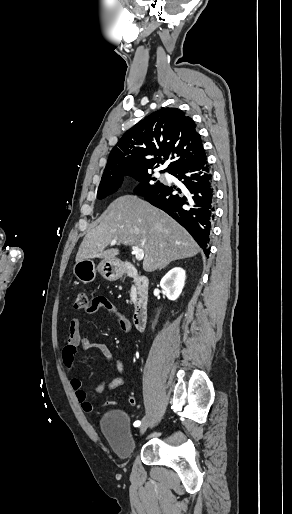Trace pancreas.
<instances>
[{"mask_svg":"<svg viewBox=\"0 0 292 514\" xmlns=\"http://www.w3.org/2000/svg\"><path fill=\"white\" fill-rule=\"evenodd\" d=\"M131 302H136V294L135 296H131Z\"/></svg>","mask_w":292,"mask_h":514,"instance_id":"1","label":"pancreas"}]
</instances>
